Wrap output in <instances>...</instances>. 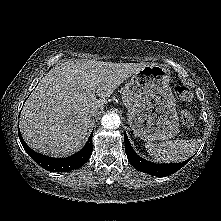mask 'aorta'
Returning a JSON list of instances; mask_svg holds the SVG:
<instances>
[{
  "label": "aorta",
  "mask_w": 221,
  "mask_h": 221,
  "mask_svg": "<svg viewBox=\"0 0 221 221\" xmlns=\"http://www.w3.org/2000/svg\"><path fill=\"white\" fill-rule=\"evenodd\" d=\"M120 117L117 114H106L101 119V124L106 129H117L120 126Z\"/></svg>",
  "instance_id": "aorta-1"
}]
</instances>
